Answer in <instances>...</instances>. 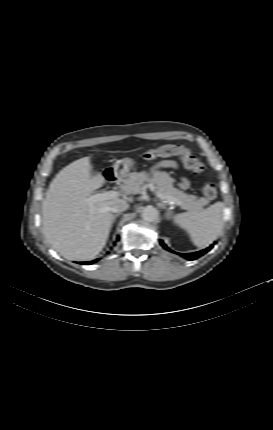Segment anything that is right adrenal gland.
<instances>
[{
  "mask_svg": "<svg viewBox=\"0 0 273 430\" xmlns=\"http://www.w3.org/2000/svg\"><path fill=\"white\" fill-rule=\"evenodd\" d=\"M120 214H121V213H117V214L113 215V217H112V225L114 224V222H115L116 218H117Z\"/></svg>",
  "mask_w": 273,
  "mask_h": 430,
  "instance_id": "2a0ac1e0",
  "label": "right adrenal gland"
}]
</instances>
